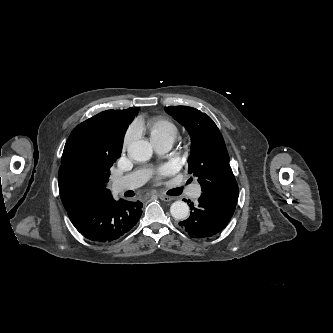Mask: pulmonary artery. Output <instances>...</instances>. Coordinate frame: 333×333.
Wrapping results in <instances>:
<instances>
[{
  "mask_svg": "<svg viewBox=\"0 0 333 333\" xmlns=\"http://www.w3.org/2000/svg\"><path fill=\"white\" fill-rule=\"evenodd\" d=\"M153 146L157 153L163 154L169 151L172 147L173 141L171 139H159L152 141ZM150 176L148 169H138L123 177L117 178L112 182V189L116 193H122L127 190L135 189L144 184ZM194 196L200 195V186L195 185L193 187Z\"/></svg>",
  "mask_w": 333,
  "mask_h": 333,
  "instance_id": "e3ab8cb5",
  "label": "pulmonary artery"
}]
</instances>
